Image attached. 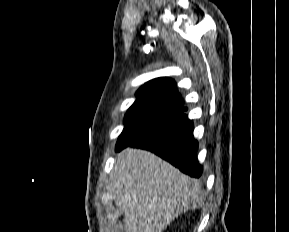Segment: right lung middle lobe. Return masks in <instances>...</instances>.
Segmentation results:
<instances>
[{"label": "right lung middle lobe", "mask_w": 289, "mask_h": 232, "mask_svg": "<svg viewBox=\"0 0 289 232\" xmlns=\"http://www.w3.org/2000/svg\"><path fill=\"white\" fill-rule=\"evenodd\" d=\"M183 112L144 103H134L124 119V130L116 150L128 146L155 130L179 119Z\"/></svg>", "instance_id": "dd1d6c3e"}]
</instances>
